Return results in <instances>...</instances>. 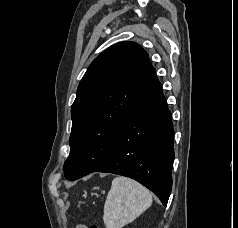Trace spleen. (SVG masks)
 <instances>
[{
	"label": "spleen",
	"mask_w": 238,
	"mask_h": 228,
	"mask_svg": "<svg viewBox=\"0 0 238 228\" xmlns=\"http://www.w3.org/2000/svg\"><path fill=\"white\" fill-rule=\"evenodd\" d=\"M151 204L152 194L146 187L128 177H116L104 204V225L106 228H122Z\"/></svg>",
	"instance_id": "spleen-1"
}]
</instances>
